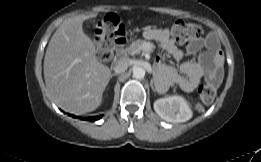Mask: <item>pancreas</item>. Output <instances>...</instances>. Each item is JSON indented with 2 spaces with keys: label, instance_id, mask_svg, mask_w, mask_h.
Listing matches in <instances>:
<instances>
[{
  "label": "pancreas",
  "instance_id": "pancreas-1",
  "mask_svg": "<svg viewBox=\"0 0 261 162\" xmlns=\"http://www.w3.org/2000/svg\"><path fill=\"white\" fill-rule=\"evenodd\" d=\"M145 43L144 40L138 39L134 42H132L129 46L126 47L124 50V54L134 56L136 54H139L142 50V45Z\"/></svg>",
  "mask_w": 261,
  "mask_h": 162
}]
</instances>
